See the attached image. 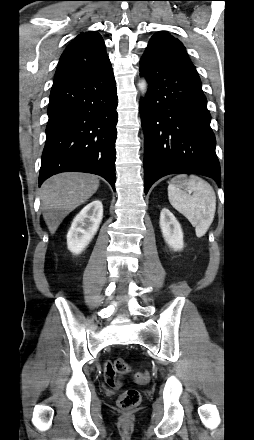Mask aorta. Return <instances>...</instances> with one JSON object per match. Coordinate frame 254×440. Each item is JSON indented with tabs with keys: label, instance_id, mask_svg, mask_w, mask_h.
<instances>
[{
	"label": "aorta",
	"instance_id": "762f6f07",
	"mask_svg": "<svg viewBox=\"0 0 254 440\" xmlns=\"http://www.w3.org/2000/svg\"><path fill=\"white\" fill-rule=\"evenodd\" d=\"M139 87H140L141 93L144 95L146 93V90H147V84H146V81L144 79H142L140 81Z\"/></svg>",
	"mask_w": 254,
	"mask_h": 440
}]
</instances>
